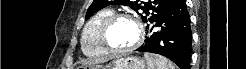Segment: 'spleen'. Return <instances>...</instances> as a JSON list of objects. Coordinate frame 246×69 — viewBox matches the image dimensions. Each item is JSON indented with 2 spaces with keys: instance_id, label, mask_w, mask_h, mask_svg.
<instances>
[{
  "instance_id": "obj_1",
  "label": "spleen",
  "mask_w": 246,
  "mask_h": 69,
  "mask_svg": "<svg viewBox=\"0 0 246 69\" xmlns=\"http://www.w3.org/2000/svg\"><path fill=\"white\" fill-rule=\"evenodd\" d=\"M144 57L147 60L148 69H176V66L163 56L145 53Z\"/></svg>"
}]
</instances>
